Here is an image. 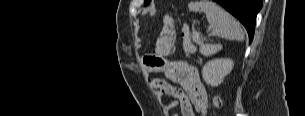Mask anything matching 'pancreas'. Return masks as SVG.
I'll use <instances>...</instances> for the list:
<instances>
[{"label":"pancreas","instance_id":"pancreas-1","mask_svg":"<svg viewBox=\"0 0 305 116\" xmlns=\"http://www.w3.org/2000/svg\"><path fill=\"white\" fill-rule=\"evenodd\" d=\"M193 40H194L196 43H198L199 45H202V43H203V40H200V39H198V38H193ZM186 52H187V53H192L193 51H192L191 49H186Z\"/></svg>","mask_w":305,"mask_h":116}]
</instances>
